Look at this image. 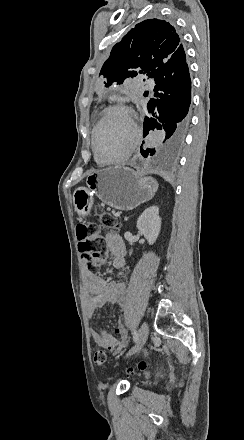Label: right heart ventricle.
I'll return each instance as SVG.
<instances>
[{
    "label": "right heart ventricle",
    "mask_w": 244,
    "mask_h": 440,
    "mask_svg": "<svg viewBox=\"0 0 244 440\" xmlns=\"http://www.w3.org/2000/svg\"><path fill=\"white\" fill-rule=\"evenodd\" d=\"M97 126H98V125H97ZM97 126L94 127L93 132H92V139H91V142H92L93 145H94V143H93L94 133L97 131ZM100 133H102V131H101ZM100 133H99V134H100ZM99 165H102V164L99 163Z\"/></svg>",
    "instance_id": "1"
}]
</instances>
